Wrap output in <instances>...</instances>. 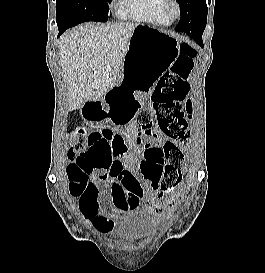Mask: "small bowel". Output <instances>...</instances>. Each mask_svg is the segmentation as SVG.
Listing matches in <instances>:
<instances>
[{
    "instance_id": "1",
    "label": "small bowel",
    "mask_w": 265,
    "mask_h": 273,
    "mask_svg": "<svg viewBox=\"0 0 265 273\" xmlns=\"http://www.w3.org/2000/svg\"><path fill=\"white\" fill-rule=\"evenodd\" d=\"M117 96H134V91H111L104 104L85 103V108L89 109L83 110V119H88V123H104L107 118L112 119L113 123H126V120H131L129 116L133 108L139 107V100L136 97ZM93 128L96 125L74 124V129ZM101 128H106V125H101ZM137 131V126L129 123L128 133L133 135ZM156 134L154 131L148 136ZM151 147L153 145L149 142L143 145V157L137 159L129 152V144L119 135L111 142L110 167L105 171H97L95 175L97 181L106 182L105 186L97 187L96 195L86 192L74 195L79 200V209L84 219L98 232H112L117 222L124 218L126 211L142 204L148 205L159 217L168 213L166 208L156 205L152 199V176L166 164V159H159L151 151Z\"/></svg>"
}]
</instances>
